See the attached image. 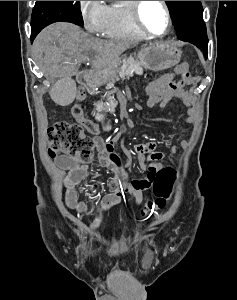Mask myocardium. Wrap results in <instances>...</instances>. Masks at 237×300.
I'll list each match as a JSON object with an SVG mask.
<instances>
[{
    "label": "myocardium",
    "mask_w": 237,
    "mask_h": 300,
    "mask_svg": "<svg viewBox=\"0 0 237 300\" xmlns=\"http://www.w3.org/2000/svg\"><path fill=\"white\" fill-rule=\"evenodd\" d=\"M144 3H145V1H132L131 11H132V16H133V20H134L135 24L146 35H149L154 38L166 37L172 28V16H171L170 7H169L167 1H160V3L162 4V6L164 8L166 21H167L166 30L162 34L153 33L143 23L142 17H141V11H142V7H143Z\"/></svg>",
    "instance_id": "1"
}]
</instances>
